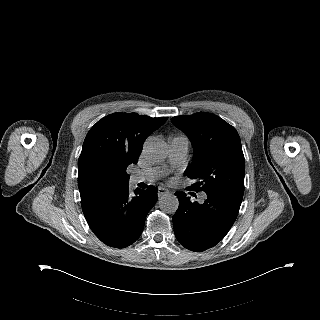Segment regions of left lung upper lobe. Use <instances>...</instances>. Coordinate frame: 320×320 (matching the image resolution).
Masks as SVG:
<instances>
[{"label": "left lung upper lobe", "mask_w": 320, "mask_h": 320, "mask_svg": "<svg viewBox=\"0 0 320 320\" xmlns=\"http://www.w3.org/2000/svg\"><path fill=\"white\" fill-rule=\"evenodd\" d=\"M171 121L193 146V160L185 171L195 181L189 188L206 194L224 193L242 201L245 159L234 127L207 112L176 116Z\"/></svg>", "instance_id": "left-lung-upper-lobe-1"}]
</instances>
